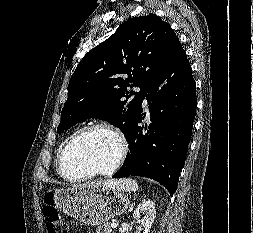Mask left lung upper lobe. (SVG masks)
<instances>
[{
  "mask_svg": "<svg viewBox=\"0 0 253 233\" xmlns=\"http://www.w3.org/2000/svg\"><path fill=\"white\" fill-rule=\"evenodd\" d=\"M178 43L170 25L155 14L122 23L77 65L57 132L96 117L126 137L148 88L162 77ZM134 86L140 92L128 90Z\"/></svg>",
  "mask_w": 253,
  "mask_h": 233,
  "instance_id": "obj_1",
  "label": "left lung upper lobe"
}]
</instances>
